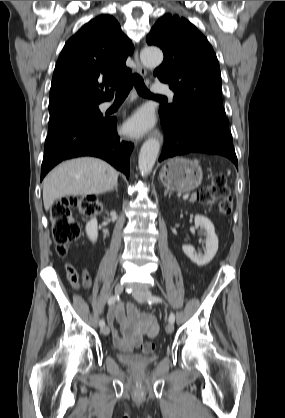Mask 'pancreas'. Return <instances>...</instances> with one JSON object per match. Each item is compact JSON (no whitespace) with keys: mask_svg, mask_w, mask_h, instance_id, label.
Wrapping results in <instances>:
<instances>
[{"mask_svg":"<svg viewBox=\"0 0 285 418\" xmlns=\"http://www.w3.org/2000/svg\"><path fill=\"white\" fill-rule=\"evenodd\" d=\"M190 201L192 202V201H194V199H193V198H191V199H190Z\"/></svg>","mask_w":285,"mask_h":418,"instance_id":"1","label":"pancreas"}]
</instances>
